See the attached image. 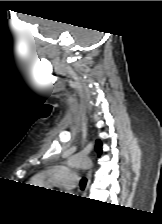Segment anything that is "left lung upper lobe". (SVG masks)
<instances>
[{"instance_id": "1", "label": "left lung upper lobe", "mask_w": 162, "mask_h": 224, "mask_svg": "<svg viewBox=\"0 0 162 224\" xmlns=\"http://www.w3.org/2000/svg\"><path fill=\"white\" fill-rule=\"evenodd\" d=\"M96 151H97L98 155L100 156L101 151H102V144H101L100 140L96 141Z\"/></svg>"}]
</instances>
